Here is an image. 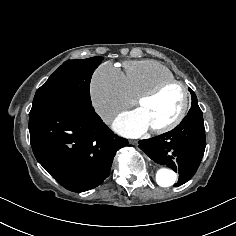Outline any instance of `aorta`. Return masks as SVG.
I'll list each match as a JSON object with an SVG mask.
<instances>
[{
    "instance_id": "762f6f07",
    "label": "aorta",
    "mask_w": 236,
    "mask_h": 236,
    "mask_svg": "<svg viewBox=\"0 0 236 236\" xmlns=\"http://www.w3.org/2000/svg\"><path fill=\"white\" fill-rule=\"evenodd\" d=\"M176 179L177 174L166 166H161L156 173V182L161 187L172 186L176 182Z\"/></svg>"
}]
</instances>
